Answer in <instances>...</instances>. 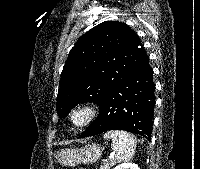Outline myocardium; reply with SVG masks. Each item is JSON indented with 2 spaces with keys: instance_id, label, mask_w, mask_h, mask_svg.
<instances>
[{
  "instance_id": "f54148a6",
  "label": "myocardium",
  "mask_w": 200,
  "mask_h": 169,
  "mask_svg": "<svg viewBox=\"0 0 200 169\" xmlns=\"http://www.w3.org/2000/svg\"><path fill=\"white\" fill-rule=\"evenodd\" d=\"M99 109L90 101L79 102L69 111L70 122L77 128L89 126L97 117Z\"/></svg>"
}]
</instances>
